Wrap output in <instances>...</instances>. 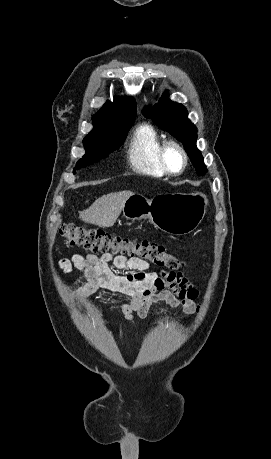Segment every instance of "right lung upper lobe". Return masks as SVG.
I'll return each mask as SVG.
<instances>
[{
	"instance_id": "obj_1",
	"label": "right lung upper lobe",
	"mask_w": 271,
	"mask_h": 459,
	"mask_svg": "<svg viewBox=\"0 0 271 459\" xmlns=\"http://www.w3.org/2000/svg\"><path fill=\"white\" fill-rule=\"evenodd\" d=\"M136 102L130 98H114V102L107 101L103 108L93 116V123L104 121L135 120Z\"/></svg>"
}]
</instances>
